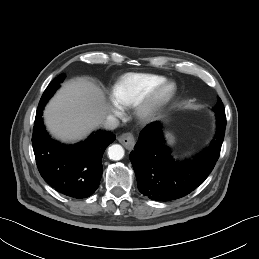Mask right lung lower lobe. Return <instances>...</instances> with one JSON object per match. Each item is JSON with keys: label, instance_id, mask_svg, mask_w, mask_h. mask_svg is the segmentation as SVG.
I'll return each mask as SVG.
<instances>
[{"label": "right lung lower lobe", "instance_id": "98d812e1", "mask_svg": "<svg viewBox=\"0 0 259 259\" xmlns=\"http://www.w3.org/2000/svg\"><path fill=\"white\" fill-rule=\"evenodd\" d=\"M42 113L36 115L32 145L43 179L59 193L76 198L92 195L103 172L105 149L115 140L112 132L98 131L74 146L60 145L45 130Z\"/></svg>", "mask_w": 259, "mask_h": 259}]
</instances>
